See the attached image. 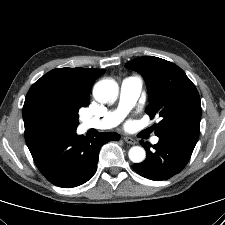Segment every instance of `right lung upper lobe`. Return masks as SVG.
Instances as JSON below:
<instances>
[{
  "label": "right lung upper lobe",
  "mask_w": 225,
  "mask_h": 225,
  "mask_svg": "<svg viewBox=\"0 0 225 225\" xmlns=\"http://www.w3.org/2000/svg\"><path fill=\"white\" fill-rule=\"evenodd\" d=\"M104 73V69L77 67L54 69L42 76L31 86L25 98L22 109L25 137L43 129L34 114L35 106L40 99L66 97L89 100L91 86Z\"/></svg>",
  "instance_id": "1"
}]
</instances>
